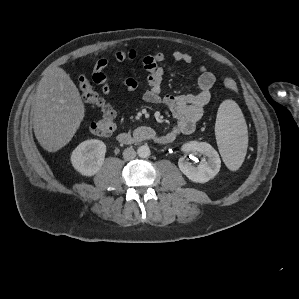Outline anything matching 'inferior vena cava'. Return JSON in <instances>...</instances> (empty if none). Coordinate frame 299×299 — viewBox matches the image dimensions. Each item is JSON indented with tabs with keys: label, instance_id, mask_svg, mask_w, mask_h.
Returning a JSON list of instances; mask_svg holds the SVG:
<instances>
[{
	"label": "inferior vena cava",
	"instance_id": "1",
	"mask_svg": "<svg viewBox=\"0 0 299 299\" xmlns=\"http://www.w3.org/2000/svg\"><path fill=\"white\" fill-rule=\"evenodd\" d=\"M135 157H136V151L132 147L126 148L123 151V158L125 160H132Z\"/></svg>",
	"mask_w": 299,
	"mask_h": 299
}]
</instances>
